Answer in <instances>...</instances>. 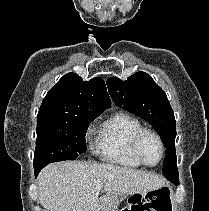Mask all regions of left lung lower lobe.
Returning a JSON list of instances; mask_svg holds the SVG:
<instances>
[{
  "label": "left lung lower lobe",
  "mask_w": 209,
  "mask_h": 211,
  "mask_svg": "<svg viewBox=\"0 0 209 211\" xmlns=\"http://www.w3.org/2000/svg\"><path fill=\"white\" fill-rule=\"evenodd\" d=\"M166 178L171 181L174 185H178V181H179V176L178 174L172 176V175H166Z\"/></svg>",
  "instance_id": "0a47b994"
}]
</instances>
